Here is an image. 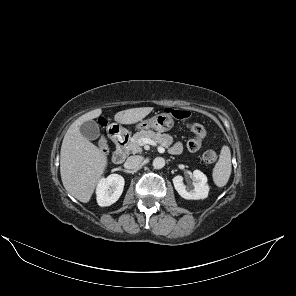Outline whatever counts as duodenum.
<instances>
[{"label":"duodenum","mask_w":296,"mask_h":296,"mask_svg":"<svg viewBox=\"0 0 296 296\" xmlns=\"http://www.w3.org/2000/svg\"><path fill=\"white\" fill-rule=\"evenodd\" d=\"M109 135L117 145V149L112 155V162L117 165L122 164L125 161L127 154V134L124 131L112 126L109 128Z\"/></svg>","instance_id":"obj_1"}]
</instances>
